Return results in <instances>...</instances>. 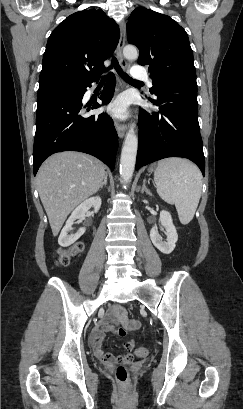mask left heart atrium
<instances>
[{
    "instance_id": "39dd6f15",
    "label": "left heart atrium",
    "mask_w": 243,
    "mask_h": 409,
    "mask_svg": "<svg viewBox=\"0 0 243 409\" xmlns=\"http://www.w3.org/2000/svg\"><path fill=\"white\" fill-rule=\"evenodd\" d=\"M108 111L115 117H124L127 111V101L124 97H119L113 101L109 107Z\"/></svg>"
}]
</instances>
